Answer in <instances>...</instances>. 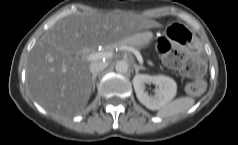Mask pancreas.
<instances>
[{"instance_id": "cf45deb5", "label": "pancreas", "mask_w": 238, "mask_h": 145, "mask_svg": "<svg viewBox=\"0 0 238 145\" xmlns=\"http://www.w3.org/2000/svg\"><path fill=\"white\" fill-rule=\"evenodd\" d=\"M117 46H121V47H134L136 49H141L144 47V43L141 41L140 38L138 37H134V38H131V39H127V40H124V41H121L119 43H116V44H113L111 45L109 48H108V51L111 52L114 50L115 47Z\"/></svg>"}]
</instances>
